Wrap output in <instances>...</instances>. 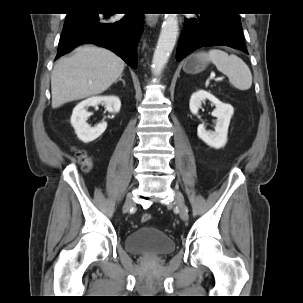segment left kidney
<instances>
[{"instance_id":"left-kidney-1","label":"left kidney","mask_w":303,"mask_h":303,"mask_svg":"<svg viewBox=\"0 0 303 303\" xmlns=\"http://www.w3.org/2000/svg\"><path fill=\"white\" fill-rule=\"evenodd\" d=\"M206 99L212 102L216 107L212 112V116L217 118L214 127L215 130L214 132L207 131L204 124H200L197 128V135L208 146L220 149L227 143L228 127L234 113V109L230 104L219 101L211 93L204 90H198L193 93L190 98L189 108L193 115L198 114V111L202 106V102Z\"/></svg>"}]
</instances>
